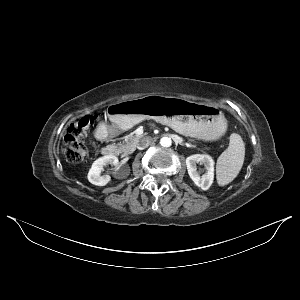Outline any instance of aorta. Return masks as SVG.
Listing matches in <instances>:
<instances>
[{
  "instance_id": "1",
  "label": "aorta",
  "mask_w": 300,
  "mask_h": 300,
  "mask_svg": "<svg viewBox=\"0 0 300 300\" xmlns=\"http://www.w3.org/2000/svg\"><path fill=\"white\" fill-rule=\"evenodd\" d=\"M160 144L163 147H170L172 145V140L170 137L165 136L160 139Z\"/></svg>"
}]
</instances>
